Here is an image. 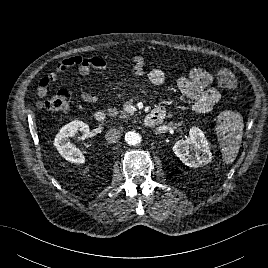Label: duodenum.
I'll return each instance as SVG.
<instances>
[{"label":"duodenum","mask_w":268,"mask_h":268,"mask_svg":"<svg viewBox=\"0 0 268 268\" xmlns=\"http://www.w3.org/2000/svg\"><path fill=\"white\" fill-rule=\"evenodd\" d=\"M165 117V111L153 110L145 118V125L148 127L157 126ZM95 122L104 124L107 121L105 113L102 111H96L93 116Z\"/></svg>","instance_id":"duodenum-1"}]
</instances>
